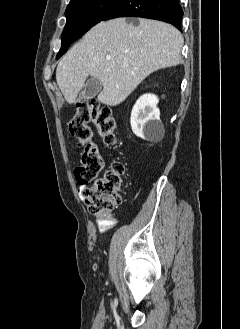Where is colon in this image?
<instances>
[{
    "instance_id": "obj_1",
    "label": "colon",
    "mask_w": 240,
    "mask_h": 329,
    "mask_svg": "<svg viewBox=\"0 0 240 329\" xmlns=\"http://www.w3.org/2000/svg\"><path fill=\"white\" fill-rule=\"evenodd\" d=\"M91 123L106 143L113 144L116 140L113 110L97 99L82 101L76 105V114L69 124L70 133L82 149L80 164L74 171L75 179L83 185L92 183L83 192L85 205L91 214L105 220L122 203L125 165L122 161H116L100 176L103 160L92 140Z\"/></svg>"
}]
</instances>
